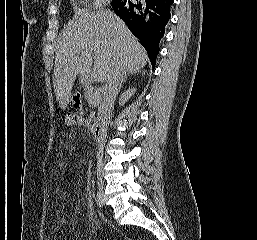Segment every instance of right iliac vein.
Segmentation results:
<instances>
[{
  "mask_svg": "<svg viewBox=\"0 0 257 240\" xmlns=\"http://www.w3.org/2000/svg\"><path fill=\"white\" fill-rule=\"evenodd\" d=\"M99 188H100V191H103V186L102 185H100Z\"/></svg>",
  "mask_w": 257,
  "mask_h": 240,
  "instance_id": "1",
  "label": "right iliac vein"
}]
</instances>
